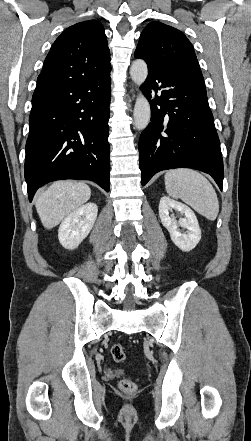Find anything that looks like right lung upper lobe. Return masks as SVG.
<instances>
[{"mask_svg": "<svg viewBox=\"0 0 251 441\" xmlns=\"http://www.w3.org/2000/svg\"><path fill=\"white\" fill-rule=\"evenodd\" d=\"M111 69L103 26L95 20L67 28L53 43L37 84L77 81Z\"/></svg>", "mask_w": 251, "mask_h": 441, "instance_id": "obj_1", "label": "right lung upper lobe"}]
</instances>
